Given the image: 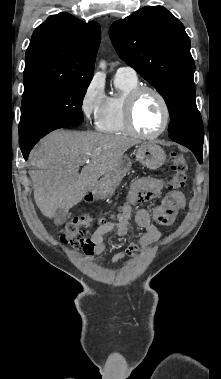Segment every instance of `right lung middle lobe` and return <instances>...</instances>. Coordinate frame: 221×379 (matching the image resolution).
<instances>
[{
  "label": "right lung middle lobe",
  "instance_id": "right-lung-middle-lobe-1",
  "mask_svg": "<svg viewBox=\"0 0 221 379\" xmlns=\"http://www.w3.org/2000/svg\"><path fill=\"white\" fill-rule=\"evenodd\" d=\"M91 79L45 86L23 93L19 140L33 141L83 122L82 103Z\"/></svg>",
  "mask_w": 221,
  "mask_h": 379
}]
</instances>
